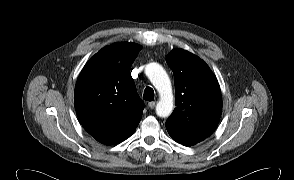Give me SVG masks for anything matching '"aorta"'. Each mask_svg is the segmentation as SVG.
Returning <instances> with one entry per match:
<instances>
[{
	"mask_svg": "<svg viewBox=\"0 0 294 180\" xmlns=\"http://www.w3.org/2000/svg\"><path fill=\"white\" fill-rule=\"evenodd\" d=\"M145 71L160 95L159 102L156 105V114L159 117H168L173 110L171 81L164 68L158 63H149Z\"/></svg>",
	"mask_w": 294,
	"mask_h": 180,
	"instance_id": "1",
	"label": "aorta"
}]
</instances>
